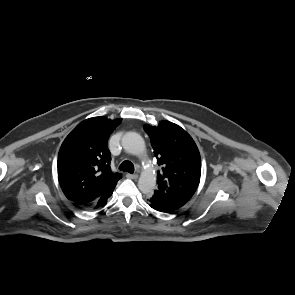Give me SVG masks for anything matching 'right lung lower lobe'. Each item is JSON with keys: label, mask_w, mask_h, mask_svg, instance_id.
Returning a JSON list of instances; mask_svg holds the SVG:
<instances>
[{"label": "right lung lower lobe", "mask_w": 295, "mask_h": 295, "mask_svg": "<svg viewBox=\"0 0 295 295\" xmlns=\"http://www.w3.org/2000/svg\"><path fill=\"white\" fill-rule=\"evenodd\" d=\"M116 184L114 186H112L111 188H109L105 193H103L101 196H99L97 199L86 203V204H80L82 207H94L99 208V207H104L107 203V199L111 196V194L113 193V190L115 188Z\"/></svg>", "instance_id": "1"}]
</instances>
